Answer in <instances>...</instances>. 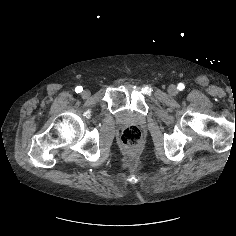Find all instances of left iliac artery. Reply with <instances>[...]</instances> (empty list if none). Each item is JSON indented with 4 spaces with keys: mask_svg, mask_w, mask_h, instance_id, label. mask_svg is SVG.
Wrapping results in <instances>:
<instances>
[{
    "mask_svg": "<svg viewBox=\"0 0 236 236\" xmlns=\"http://www.w3.org/2000/svg\"><path fill=\"white\" fill-rule=\"evenodd\" d=\"M178 90L182 91L185 88V85L183 83H179L177 85Z\"/></svg>",
    "mask_w": 236,
    "mask_h": 236,
    "instance_id": "1",
    "label": "left iliac artery"
}]
</instances>
